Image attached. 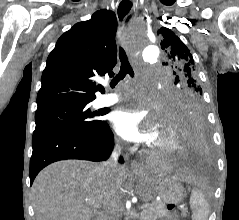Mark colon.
Listing matches in <instances>:
<instances>
[{
	"label": "colon",
	"instance_id": "obj_1",
	"mask_svg": "<svg viewBox=\"0 0 239 220\" xmlns=\"http://www.w3.org/2000/svg\"><path fill=\"white\" fill-rule=\"evenodd\" d=\"M175 207H176L175 204H172V203L167 204V208L170 211H173L175 209ZM171 220H178V219L176 217H172Z\"/></svg>",
	"mask_w": 239,
	"mask_h": 220
}]
</instances>
